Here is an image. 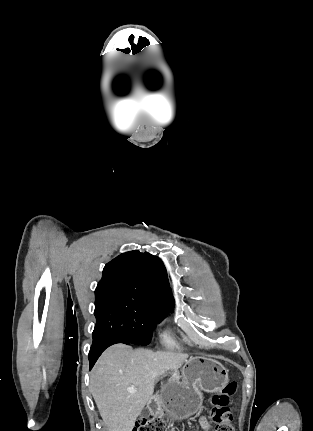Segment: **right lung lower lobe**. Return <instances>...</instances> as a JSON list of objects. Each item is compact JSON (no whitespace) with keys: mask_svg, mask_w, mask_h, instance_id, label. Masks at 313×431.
<instances>
[{"mask_svg":"<svg viewBox=\"0 0 313 431\" xmlns=\"http://www.w3.org/2000/svg\"><path fill=\"white\" fill-rule=\"evenodd\" d=\"M117 343H124V344H131L127 341L121 340V339H103L98 342H95L92 344V347L89 352V363H90V369L94 366L95 362L99 358V356L102 354V352L109 346Z\"/></svg>","mask_w":313,"mask_h":431,"instance_id":"1","label":"right lung lower lobe"}]
</instances>
